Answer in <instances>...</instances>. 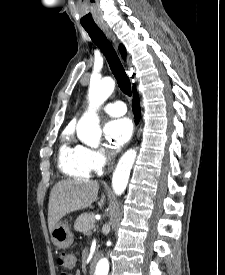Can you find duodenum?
Segmentation results:
<instances>
[{
  "label": "duodenum",
  "instance_id": "duodenum-1",
  "mask_svg": "<svg viewBox=\"0 0 225 275\" xmlns=\"http://www.w3.org/2000/svg\"><path fill=\"white\" fill-rule=\"evenodd\" d=\"M95 263H96V260L94 259V260L91 262V265H90V274H91V275L94 273Z\"/></svg>",
  "mask_w": 225,
  "mask_h": 275
}]
</instances>
